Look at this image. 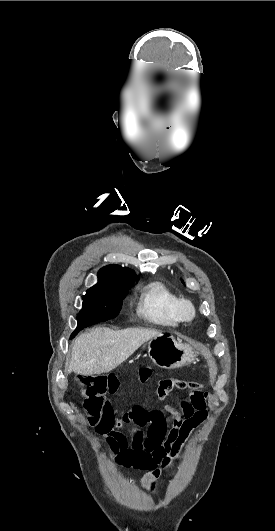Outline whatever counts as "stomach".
Returning a JSON list of instances; mask_svg holds the SVG:
<instances>
[{
	"label": "stomach",
	"mask_w": 275,
	"mask_h": 531,
	"mask_svg": "<svg viewBox=\"0 0 275 531\" xmlns=\"http://www.w3.org/2000/svg\"><path fill=\"white\" fill-rule=\"evenodd\" d=\"M148 358L161 369H179L194 363L197 353L187 345L178 343L173 335L160 333L147 343Z\"/></svg>",
	"instance_id": "0dacf381"
}]
</instances>
